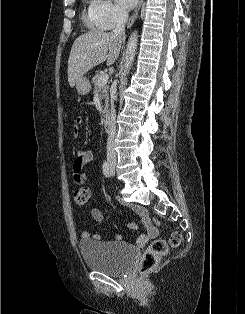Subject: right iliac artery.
I'll return each instance as SVG.
<instances>
[{"mask_svg":"<svg viewBox=\"0 0 245 314\" xmlns=\"http://www.w3.org/2000/svg\"><path fill=\"white\" fill-rule=\"evenodd\" d=\"M103 174L106 177H110L111 176L110 169H109V164L107 162H104V164H103Z\"/></svg>","mask_w":245,"mask_h":314,"instance_id":"82829eb1","label":"right iliac artery"}]
</instances>
